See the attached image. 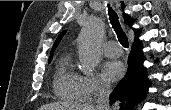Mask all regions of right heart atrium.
Listing matches in <instances>:
<instances>
[{"mask_svg": "<svg viewBox=\"0 0 171 110\" xmlns=\"http://www.w3.org/2000/svg\"><path fill=\"white\" fill-rule=\"evenodd\" d=\"M82 81L87 99L98 96L107 88V85L94 75L82 76Z\"/></svg>", "mask_w": 171, "mask_h": 110, "instance_id": "obj_1", "label": "right heart atrium"}]
</instances>
